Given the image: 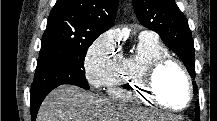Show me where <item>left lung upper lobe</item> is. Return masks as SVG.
<instances>
[{
	"mask_svg": "<svg viewBox=\"0 0 217 121\" xmlns=\"http://www.w3.org/2000/svg\"><path fill=\"white\" fill-rule=\"evenodd\" d=\"M133 8L140 23L157 32L165 45L183 61L189 74L195 78V49L188 21L174 0H133ZM194 93L198 89L193 82ZM196 120L199 121V102H196Z\"/></svg>",
	"mask_w": 217,
	"mask_h": 121,
	"instance_id": "5c2ea615",
	"label": "left lung upper lobe"
}]
</instances>
